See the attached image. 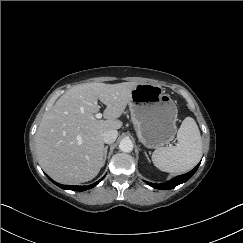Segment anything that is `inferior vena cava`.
<instances>
[{
    "mask_svg": "<svg viewBox=\"0 0 243 243\" xmlns=\"http://www.w3.org/2000/svg\"><path fill=\"white\" fill-rule=\"evenodd\" d=\"M117 136H118V132L116 130H108L103 133V141L106 144H111L115 142Z\"/></svg>",
    "mask_w": 243,
    "mask_h": 243,
    "instance_id": "obj_1",
    "label": "inferior vena cava"
}]
</instances>
